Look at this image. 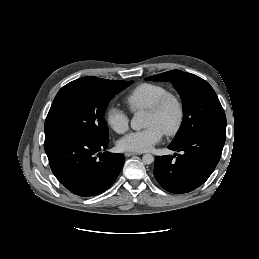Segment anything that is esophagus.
<instances>
[{
  "label": "esophagus",
  "instance_id": "esophagus-1",
  "mask_svg": "<svg viewBox=\"0 0 259 259\" xmlns=\"http://www.w3.org/2000/svg\"><path fill=\"white\" fill-rule=\"evenodd\" d=\"M141 153H137V152H125V156L126 157H130V156H134V155H140Z\"/></svg>",
  "mask_w": 259,
  "mask_h": 259
}]
</instances>
